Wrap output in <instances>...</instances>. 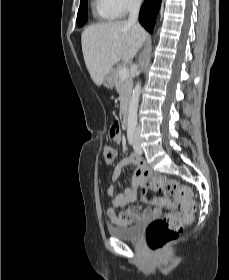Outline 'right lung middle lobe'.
Returning a JSON list of instances; mask_svg holds the SVG:
<instances>
[{
  "label": "right lung middle lobe",
  "mask_w": 229,
  "mask_h": 280,
  "mask_svg": "<svg viewBox=\"0 0 229 280\" xmlns=\"http://www.w3.org/2000/svg\"><path fill=\"white\" fill-rule=\"evenodd\" d=\"M87 2L88 0H81L77 15L78 26H82L87 22Z\"/></svg>",
  "instance_id": "dd1d6c3e"
}]
</instances>
